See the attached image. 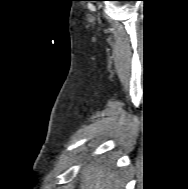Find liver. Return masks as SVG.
<instances>
[{"mask_svg": "<svg viewBox=\"0 0 188 189\" xmlns=\"http://www.w3.org/2000/svg\"><path fill=\"white\" fill-rule=\"evenodd\" d=\"M81 189H121V179L115 177L110 169L100 167H88L83 172Z\"/></svg>", "mask_w": 188, "mask_h": 189, "instance_id": "liver-1", "label": "liver"}]
</instances>
